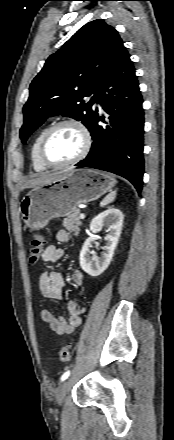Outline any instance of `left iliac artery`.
I'll list each match as a JSON object with an SVG mask.
<instances>
[{
	"label": "left iliac artery",
	"instance_id": "left-iliac-artery-1",
	"mask_svg": "<svg viewBox=\"0 0 174 440\" xmlns=\"http://www.w3.org/2000/svg\"><path fill=\"white\" fill-rule=\"evenodd\" d=\"M70 375V371L65 372L62 376H61V381L66 380Z\"/></svg>",
	"mask_w": 174,
	"mask_h": 440
}]
</instances>
